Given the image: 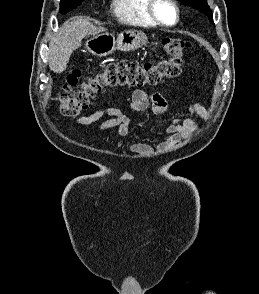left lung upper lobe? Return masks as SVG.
<instances>
[{
	"label": "left lung upper lobe",
	"mask_w": 259,
	"mask_h": 294,
	"mask_svg": "<svg viewBox=\"0 0 259 294\" xmlns=\"http://www.w3.org/2000/svg\"><path fill=\"white\" fill-rule=\"evenodd\" d=\"M182 4L188 5L190 7H193L194 9H197L207 15L209 17V20L212 24L213 23V15L210 10V7L207 4V0H179Z\"/></svg>",
	"instance_id": "5c2ea615"
}]
</instances>
